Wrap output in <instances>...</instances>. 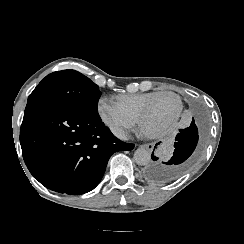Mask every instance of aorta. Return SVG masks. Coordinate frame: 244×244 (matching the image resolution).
Listing matches in <instances>:
<instances>
[{
  "label": "aorta",
  "instance_id": "obj_1",
  "mask_svg": "<svg viewBox=\"0 0 244 244\" xmlns=\"http://www.w3.org/2000/svg\"><path fill=\"white\" fill-rule=\"evenodd\" d=\"M133 159L138 165H146L151 159V153L149 150L144 148H139L134 152Z\"/></svg>",
  "mask_w": 244,
  "mask_h": 244
}]
</instances>
